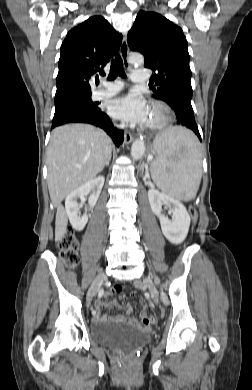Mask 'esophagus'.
I'll return each mask as SVG.
<instances>
[{
    "instance_id": "obj_1",
    "label": "esophagus",
    "mask_w": 252,
    "mask_h": 390,
    "mask_svg": "<svg viewBox=\"0 0 252 390\" xmlns=\"http://www.w3.org/2000/svg\"><path fill=\"white\" fill-rule=\"evenodd\" d=\"M128 54H129V47L126 38L123 39L122 44L120 46V55L122 57L124 66L127 68L129 67V61H128ZM134 137L131 133L125 132L124 133V142L126 144H129L133 141Z\"/></svg>"
}]
</instances>
